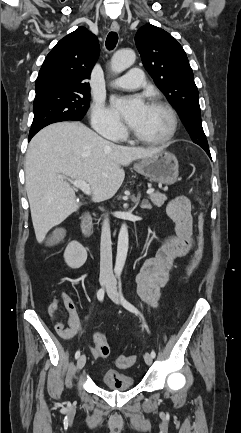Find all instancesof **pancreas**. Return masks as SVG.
Instances as JSON below:
<instances>
[{"label":"pancreas","instance_id":"cf45deb5","mask_svg":"<svg viewBox=\"0 0 241 433\" xmlns=\"http://www.w3.org/2000/svg\"><path fill=\"white\" fill-rule=\"evenodd\" d=\"M149 199L152 201V203L157 206V207H161L164 202L167 200V197L159 192H155L150 194Z\"/></svg>","mask_w":241,"mask_h":433}]
</instances>
